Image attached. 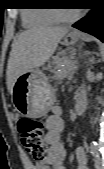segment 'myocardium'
<instances>
[{"label":"myocardium","mask_w":104,"mask_h":169,"mask_svg":"<svg viewBox=\"0 0 104 169\" xmlns=\"http://www.w3.org/2000/svg\"><path fill=\"white\" fill-rule=\"evenodd\" d=\"M51 14L57 22L69 23L75 21L81 15V12L79 10L76 11L73 15L65 16L61 14L60 10L54 9L51 11Z\"/></svg>","instance_id":"1"}]
</instances>
